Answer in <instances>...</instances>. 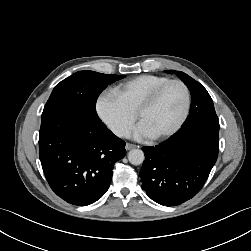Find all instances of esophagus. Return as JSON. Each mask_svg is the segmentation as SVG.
Instances as JSON below:
<instances>
[{
	"mask_svg": "<svg viewBox=\"0 0 251 251\" xmlns=\"http://www.w3.org/2000/svg\"><path fill=\"white\" fill-rule=\"evenodd\" d=\"M136 147H137V145H134V144H131V143H126V145H125L126 150H131V149L136 148Z\"/></svg>",
	"mask_w": 251,
	"mask_h": 251,
	"instance_id": "34e87169",
	"label": "esophagus"
}]
</instances>
